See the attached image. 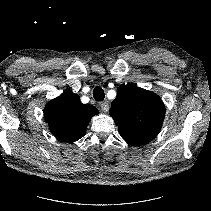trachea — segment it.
<instances>
[{
  "instance_id": "3493384b",
  "label": "trachea",
  "mask_w": 211,
  "mask_h": 211,
  "mask_svg": "<svg viewBox=\"0 0 211 211\" xmlns=\"http://www.w3.org/2000/svg\"><path fill=\"white\" fill-rule=\"evenodd\" d=\"M93 97L96 101H103L105 98L103 89L101 87H95L93 90Z\"/></svg>"
}]
</instances>
